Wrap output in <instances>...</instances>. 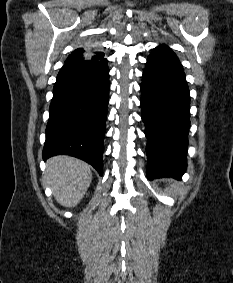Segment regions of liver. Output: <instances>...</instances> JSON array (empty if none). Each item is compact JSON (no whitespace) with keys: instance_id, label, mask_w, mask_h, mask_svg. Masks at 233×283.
<instances>
[{"instance_id":"6515ba94","label":"liver","mask_w":233,"mask_h":283,"mask_svg":"<svg viewBox=\"0 0 233 283\" xmlns=\"http://www.w3.org/2000/svg\"><path fill=\"white\" fill-rule=\"evenodd\" d=\"M44 180L52 188L59 204L74 207L82 200L89 188L92 172L86 162L59 155L47 160Z\"/></svg>"}]
</instances>
